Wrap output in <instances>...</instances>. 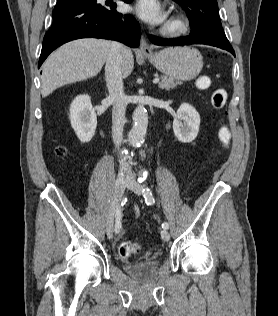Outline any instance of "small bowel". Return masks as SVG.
Segmentation results:
<instances>
[{
	"label": "small bowel",
	"mask_w": 278,
	"mask_h": 316,
	"mask_svg": "<svg viewBox=\"0 0 278 316\" xmlns=\"http://www.w3.org/2000/svg\"><path fill=\"white\" fill-rule=\"evenodd\" d=\"M135 210H136V214L138 215V214H139V209H138V208H136Z\"/></svg>",
	"instance_id": "1"
}]
</instances>
